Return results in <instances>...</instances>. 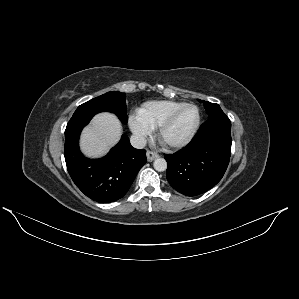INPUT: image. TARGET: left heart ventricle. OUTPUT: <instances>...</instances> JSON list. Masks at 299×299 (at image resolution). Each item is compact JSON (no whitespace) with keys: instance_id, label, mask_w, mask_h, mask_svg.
Here are the masks:
<instances>
[{"instance_id":"obj_1","label":"left heart ventricle","mask_w":299,"mask_h":299,"mask_svg":"<svg viewBox=\"0 0 299 299\" xmlns=\"http://www.w3.org/2000/svg\"><path fill=\"white\" fill-rule=\"evenodd\" d=\"M197 120V110L194 107L183 109L171 126L166 130L164 138L168 142H175L185 138L193 129Z\"/></svg>"}]
</instances>
